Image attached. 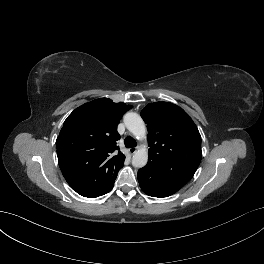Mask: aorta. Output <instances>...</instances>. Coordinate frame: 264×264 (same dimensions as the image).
I'll use <instances>...</instances> for the list:
<instances>
[{
	"mask_svg": "<svg viewBox=\"0 0 264 264\" xmlns=\"http://www.w3.org/2000/svg\"><path fill=\"white\" fill-rule=\"evenodd\" d=\"M124 123L127 129L138 139L144 138L146 135V127L140 115L134 112H128L124 115ZM148 151L146 148H139L132 157V165L142 168L147 164Z\"/></svg>",
	"mask_w": 264,
	"mask_h": 264,
	"instance_id": "aorta-1",
	"label": "aorta"
}]
</instances>
